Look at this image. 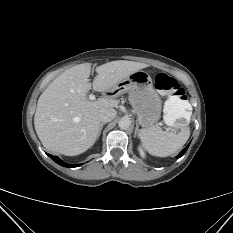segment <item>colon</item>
Returning <instances> with one entry per match:
<instances>
[{"instance_id":"obj_1","label":"colon","mask_w":233,"mask_h":233,"mask_svg":"<svg viewBox=\"0 0 233 233\" xmlns=\"http://www.w3.org/2000/svg\"><path fill=\"white\" fill-rule=\"evenodd\" d=\"M154 83L157 90L168 94L164 104L166 123L176 129L186 127L192 115V107L179 83L162 72L155 76Z\"/></svg>"}]
</instances>
